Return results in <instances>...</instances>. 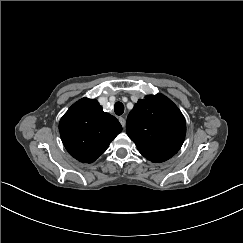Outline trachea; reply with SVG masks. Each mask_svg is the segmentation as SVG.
<instances>
[{
  "mask_svg": "<svg viewBox=\"0 0 243 243\" xmlns=\"http://www.w3.org/2000/svg\"><path fill=\"white\" fill-rule=\"evenodd\" d=\"M125 108L124 105L121 102H116L114 105V112L116 115H122Z\"/></svg>",
  "mask_w": 243,
  "mask_h": 243,
  "instance_id": "trachea-1",
  "label": "trachea"
}]
</instances>
